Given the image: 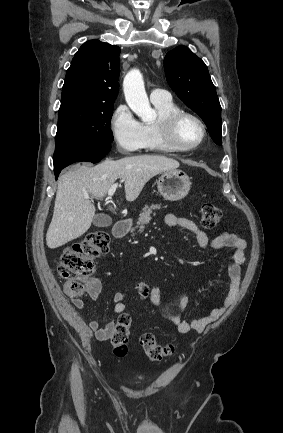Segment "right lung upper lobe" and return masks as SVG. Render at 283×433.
Listing matches in <instances>:
<instances>
[{"mask_svg": "<svg viewBox=\"0 0 283 433\" xmlns=\"http://www.w3.org/2000/svg\"><path fill=\"white\" fill-rule=\"evenodd\" d=\"M119 54L118 46L99 40L83 44L67 70L60 109L78 104L114 103L119 88Z\"/></svg>", "mask_w": 283, "mask_h": 433, "instance_id": "right-lung-upper-lobe-1", "label": "right lung upper lobe"}]
</instances>
